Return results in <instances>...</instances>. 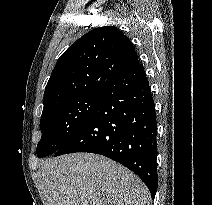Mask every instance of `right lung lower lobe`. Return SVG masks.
Here are the masks:
<instances>
[{"label":"right lung lower lobe","instance_id":"obj_1","mask_svg":"<svg viewBox=\"0 0 212 205\" xmlns=\"http://www.w3.org/2000/svg\"><path fill=\"white\" fill-rule=\"evenodd\" d=\"M155 104L141 63L101 90V100L55 156L89 152L104 155L137 174L154 199L157 185Z\"/></svg>","mask_w":212,"mask_h":205}]
</instances>
